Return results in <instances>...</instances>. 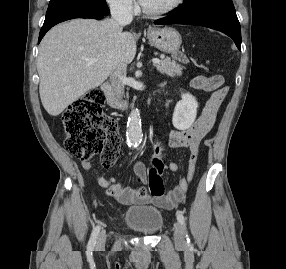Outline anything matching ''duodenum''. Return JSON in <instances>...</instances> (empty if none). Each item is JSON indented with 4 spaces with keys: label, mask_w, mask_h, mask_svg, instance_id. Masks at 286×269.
Instances as JSON below:
<instances>
[{
    "label": "duodenum",
    "mask_w": 286,
    "mask_h": 269,
    "mask_svg": "<svg viewBox=\"0 0 286 269\" xmlns=\"http://www.w3.org/2000/svg\"><path fill=\"white\" fill-rule=\"evenodd\" d=\"M102 90L108 105L115 109H121L126 106V103L122 101L114 92L113 86L110 82H104L102 84Z\"/></svg>",
    "instance_id": "410a0bca"
}]
</instances>
